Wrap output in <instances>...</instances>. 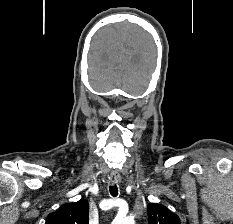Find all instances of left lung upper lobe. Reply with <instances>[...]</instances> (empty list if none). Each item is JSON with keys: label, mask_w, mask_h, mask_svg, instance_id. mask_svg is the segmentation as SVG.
<instances>
[{"label": "left lung upper lobe", "mask_w": 233, "mask_h": 224, "mask_svg": "<svg viewBox=\"0 0 233 224\" xmlns=\"http://www.w3.org/2000/svg\"><path fill=\"white\" fill-rule=\"evenodd\" d=\"M147 213L150 224H180L179 217L163 205L149 203Z\"/></svg>", "instance_id": "left-lung-upper-lobe-1"}]
</instances>
